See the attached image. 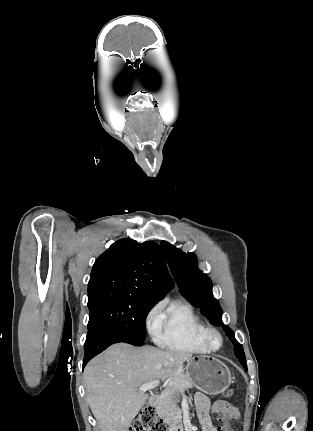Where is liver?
Listing matches in <instances>:
<instances>
[{"label":"liver","instance_id":"1","mask_svg":"<svg viewBox=\"0 0 313 431\" xmlns=\"http://www.w3.org/2000/svg\"><path fill=\"white\" fill-rule=\"evenodd\" d=\"M191 354L153 346H110L85 368L86 397L101 431H128L148 396L143 384L174 378L183 372Z\"/></svg>","mask_w":313,"mask_h":431}]
</instances>
